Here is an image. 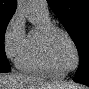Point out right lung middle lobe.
I'll use <instances>...</instances> for the list:
<instances>
[{
  "instance_id": "1",
  "label": "right lung middle lobe",
  "mask_w": 89,
  "mask_h": 89,
  "mask_svg": "<svg viewBox=\"0 0 89 89\" xmlns=\"http://www.w3.org/2000/svg\"><path fill=\"white\" fill-rule=\"evenodd\" d=\"M13 14L0 13V72L5 69H11L7 60L5 49H4V35L6 27L12 18Z\"/></svg>"
}]
</instances>
